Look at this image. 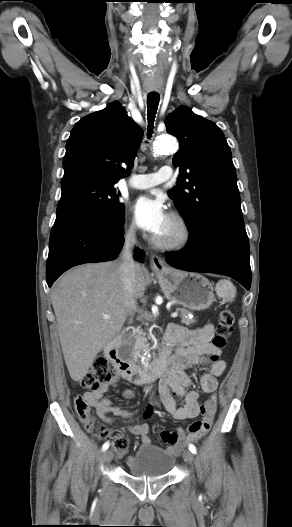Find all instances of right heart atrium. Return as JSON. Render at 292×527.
Wrapping results in <instances>:
<instances>
[{
    "instance_id": "1",
    "label": "right heart atrium",
    "mask_w": 292,
    "mask_h": 527,
    "mask_svg": "<svg viewBox=\"0 0 292 527\" xmlns=\"http://www.w3.org/2000/svg\"><path fill=\"white\" fill-rule=\"evenodd\" d=\"M127 234L128 236L130 237H133L134 234H135V225L133 223H131L128 227V230H127Z\"/></svg>"
}]
</instances>
